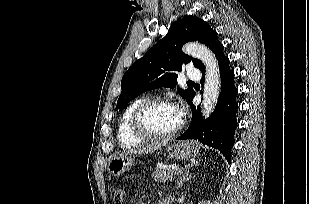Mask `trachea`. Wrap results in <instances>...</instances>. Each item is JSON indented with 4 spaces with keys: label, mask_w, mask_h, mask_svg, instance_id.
<instances>
[{
    "label": "trachea",
    "mask_w": 309,
    "mask_h": 204,
    "mask_svg": "<svg viewBox=\"0 0 309 204\" xmlns=\"http://www.w3.org/2000/svg\"><path fill=\"white\" fill-rule=\"evenodd\" d=\"M188 83H189V84H194V82H192V81H188Z\"/></svg>",
    "instance_id": "obj_1"
}]
</instances>
